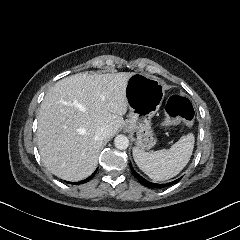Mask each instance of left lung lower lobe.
Here are the masks:
<instances>
[{
	"label": "left lung lower lobe",
	"instance_id": "obj_1",
	"mask_svg": "<svg viewBox=\"0 0 240 240\" xmlns=\"http://www.w3.org/2000/svg\"><path fill=\"white\" fill-rule=\"evenodd\" d=\"M131 167V165H130ZM131 171H132V174L138 179V181L146 186V187H149V188H161V187H165V186H169V185H172V184H175L176 182H178L181 178L173 181V182H170L168 184H154V183H151L149 181H147L146 179H144L143 177H141L137 172L134 171V169L131 167Z\"/></svg>",
	"mask_w": 240,
	"mask_h": 240
}]
</instances>
